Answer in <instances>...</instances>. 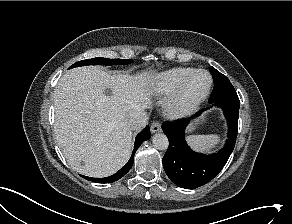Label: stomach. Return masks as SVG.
I'll return each mask as SVG.
<instances>
[{"mask_svg":"<svg viewBox=\"0 0 292 224\" xmlns=\"http://www.w3.org/2000/svg\"><path fill=\"white\" fill-rule=\"evenodd\" d=\"M204 121H205V117H202L201 119L197 120L195 124L189 127V131H193L199 124H202Z\"/></svg>","mask_w":292,"mask_h":224,"instance_id":"obj_1","label":"stomach"}]
</instances>
